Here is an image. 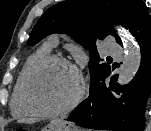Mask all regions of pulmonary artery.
Segmentation results:
<instances>
[{"instance_id":"pulmonary-artery-1","label":"pulmonary artery","mask_w":151,"mask_h":131,"mask_svg":"<svg viewBox=\"0 0 151 131\" xmlns=\"http://www.w3.org/2000/svg\"><path fill=\"white\" fill-rule=\"evenodd\" d=\"M57 42H58V39L56 36L50 37L49 45L55 46L57 44ZM104 45L110 54L115 55V56L122 55V50H121L120 46H118L113 39H111V38L106 39L104 42Z\"/></svg>"}]
</instances>
